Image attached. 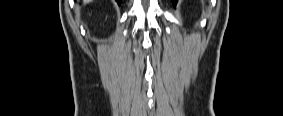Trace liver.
Listing matches in <instances>:
<instances>
[{"mask_svg": "<svg viewBox=\"0 0 283 116\" xmlns=\"http://www.w3.org/2000/svg\"><path fill=\"white\" fill-rule=\"evenodd\" d=\"M84 2H89V0H84Z\"/></svg>", "mask_w": 283, "mask_h": 116, "instance_id": "1", "label": "liver"}]
</instances>
